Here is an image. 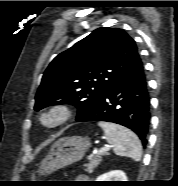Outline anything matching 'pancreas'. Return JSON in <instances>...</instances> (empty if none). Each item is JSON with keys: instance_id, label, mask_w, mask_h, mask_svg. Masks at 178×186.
<instances>
[{"instance_id": "1", "label": "pancreas", "mask_w": 178, "mask_h": 186, "mask_svg": "<svg viewBox=\"0 0 178 186\" xmlns=\"http://www.w3.org/2000/svg\"><path fill=\"white\" fill-rule=\"evenodd\" d=\"M104 154H106V152ZM101 160H102L101 156H96V157L92 158L89 161V163L84 165L86 167L85 171L88 173H92L94 171V169L99 165Z\"/></svg>"}]
</instances>
